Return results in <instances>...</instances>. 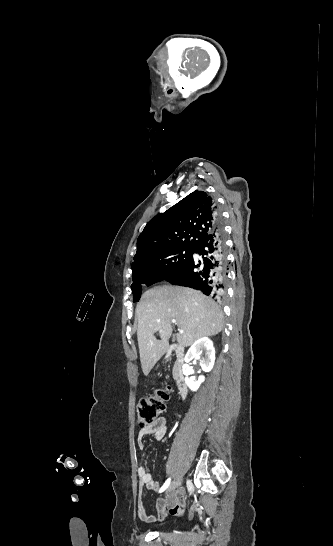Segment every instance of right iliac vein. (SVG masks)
Segmentation results:
<instances>
[{
	"mask_svg": "<svg viewBox=\"0 0 333 546\" xmlns=\"http://www.w3.org/2000/svg\"><path fill=\"white\" fill-rule=\"evenodd\" d=\"M182 479L180 477L176 478L172 483L169 485L166 493L174 491L176 488H178L181 484Z\"/></svg>",
	"mask_w": 333,
	"mask_h": 546,
	"instance_id": "right-iliac-vein-1",
	"label": "right iliac vein"
}]
</instances>
